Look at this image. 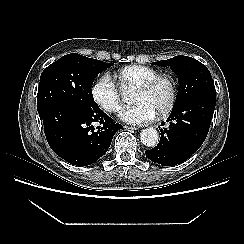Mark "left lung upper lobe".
<instances>
[{
	"label": "left lung upper lobe",
	"mask_w": 244,
	"mask_h": 244,
	"mask_svg": "<svg viewBox=\"0 0 244 244\" xmlns=\"http://www.w3.org/2000/svg\"><path fill=\"white\" fill-rule=\"evenodd\" d=\"M155 64L169 66L178 76L179 90L173 107L193 97L216 95L209 70L194 58L180 55Z\"/></svg>",
	"instance_id": "obj_1"
}]
</instances>
